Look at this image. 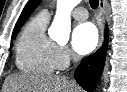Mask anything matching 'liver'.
<instances>
[{"instance_id": "6515ba94", "label": "liver", "mask_w": 127, "mask_h": 92, "mask_svg": "<svg viewBox=\"0 0 127 92\" xmlns=\"http://www.w3.org/2000/svg\"><path fill=\"white\" fill-rule=\"evenodd\" d=\"M4 92H83L66 77L16 74L7 77Z\"/></svg>"}]
</instances>
